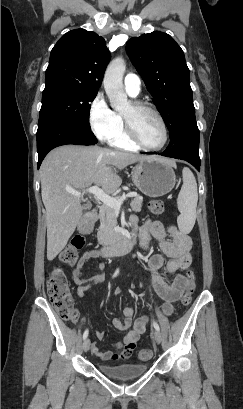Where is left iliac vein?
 I'll return each instance as SVG.
<instances>
[{"mask_svg": "<svg viewBox=\"0 0 243 409\" xmlns=\"http://www.w3.org/2000/svg\"><path fill=\"white\" fill-rule=\"evenodd\" d=\"M154 338H155V341H156L158 344L161 343V341H162V335H161V333H160L159 331H157V330L154 331Z\"/></svg>", "mask_w": 243, "mask_h": 409, "instance_id": "left-iliac-vein-1", "label": "left iliac vein"}]
</instances>
